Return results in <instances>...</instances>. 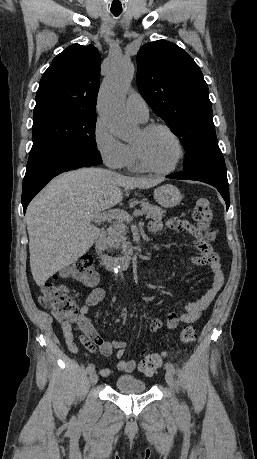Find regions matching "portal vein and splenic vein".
<instances>
[{
	"label": "portal vein and splenic vein",
	"mask_w": 257,
	"mask_h": 459,
	"mask_svg": "<svg viewBox=\"0 0 257 459\" xmlns=\"http://www.w3.org/2000/svg\"><path fill=\"white\" fill-rule=\"evenodd\" d=\"M134 215L135 216L143 215V213L140 211H135ZM113 219L121 220V221H128V222L132 221V217L127 212L123 210H119V209L103 212L99 214L97 217H95L94 221L99 223V222H103L106 220H113Z\"/></svg>",
	"instance_id": "portal-vein-and-splenic-vein-1"
}]
</instances>
